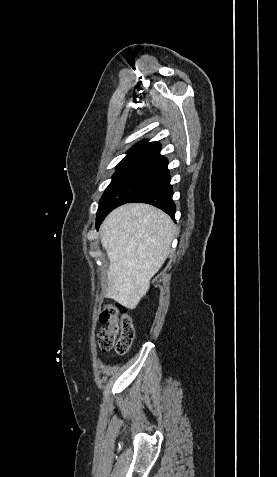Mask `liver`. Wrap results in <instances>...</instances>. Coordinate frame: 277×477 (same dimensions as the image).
I'll return each mask as SVG.
<instances>
[{"mask_svg":"<svg viewBox=\"0 0 277 477\" xmlns=\"http://www.w3.org/2000/svg\"><path fill=\"white\" fill-rule=\"evenodd\" d=\"M172 219L148 204H126L104 220L100 237L110 261L106 297L135 309L170 252Z\"/></svg>","mask_w":277,"mask_h":477,"instance_id":"obj_1","label":"liver"}]
</instances>
